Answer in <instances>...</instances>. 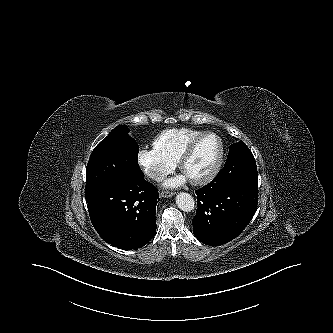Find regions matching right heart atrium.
Wrapping results in <instances>:
<instances>
[{"label":"right heart atrium","mask_w":333,"mask_h":333,"mask_svg":"<svg viewBox=\"0 0 333 333\" xmlns=\"http://www.w3.org/2000/svg\"><path fill=\"white\" fill-rule=\"evenodd\" d=\"M137 160L143 172L154 181L162 180L176 166V162L155 149L142 148L138 152Z\"/></svg>","instance_id":"right-heart-atrium-1"}]
</instances>
